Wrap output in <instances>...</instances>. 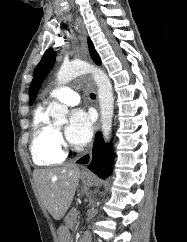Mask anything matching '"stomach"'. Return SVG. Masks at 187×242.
<instances>
[{"mask_svg":"<svg viewBox=\"0 0 187 242\" xmlns=\"http://www.w3.org/2000/svg\"><path fill=\"white\" fill-rule=\"evenodd\" d=\"M80 178L86 186H93L96 184V179L91 174H81ZM57 234L58 242H70L71 234L67 226L61 225L57 231Z\"/></svg>","mask_w":187,"mask_h":242,"instance_id":"stomach-1","label":"stomach"}]
</instances>
